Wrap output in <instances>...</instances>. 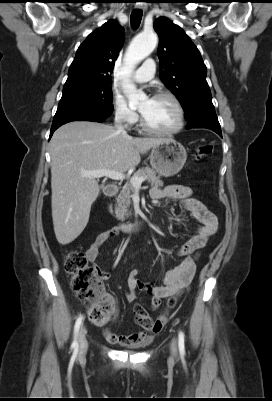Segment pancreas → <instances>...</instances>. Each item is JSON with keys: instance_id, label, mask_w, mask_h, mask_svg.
I'll return each instance as SVG.
<instances>
[{"instance_id": "cf45deb5", "label": "pancreas", "mask_w": 272, "mask_h": 401, "mask_svg": "<svg viewBox=\"0 0 272 401\" xmlns=\"http://www.w3.org/2000/svg\"><path fill=\"white\" fill-rule=\"evenodd\" d=\"M135 177H145L147 182L151 184L153 188H159L163 186V181L160 180L159 176H156L155 172L150 167L141 168L134 173ZM134 187L131 183H127L123 186L121 192L116 198L115 216L118 220L124 221L132 215L130 206L132 204V192Z\"/></svg>"}]
</instances>
